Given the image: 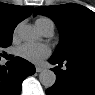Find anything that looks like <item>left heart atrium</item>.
<instances>
[{"mask_svg": "<svg viewBox=\"0 0 95 95\" xmlns=\"http://www.w3.org/2000/svg\"><path fill=\"white\" fill-rule=\"evenodd\" d=\"M50 54V49L44 44L25 43L18 48V55L31 62L39 63Z\"/></svg>", "mask_w": 95, "mask_h": 95, "instance_id": "left-heart-atrium-1", "label": "left heart atrium"}]
</instances>
